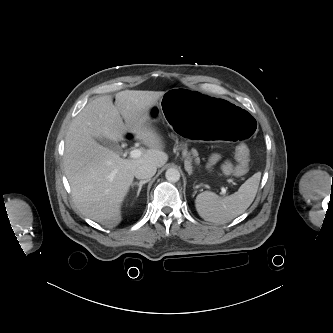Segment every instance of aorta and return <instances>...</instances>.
Masks as SVG:
<instances>
[{"label":"aorta","mask_w":333,"mask_h":333,"mask_svg":"<svg viewBox=\"0 0 333 333\" xmlns=\"http://www.w3.org/2000/svg\"><path fill=\"white\" fill-rule=\"evenodd\" d=\"M165 177L169 182H177L180 179V173L175 168H169L165 173Z\"/></svg>","instance_id":"762f6f07"}]
</instances>
